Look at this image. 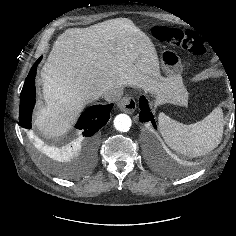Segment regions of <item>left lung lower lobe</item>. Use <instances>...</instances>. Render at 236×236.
<instances>
[{
	"instance_id": "left-lung-lower-lobe-1",
	"label": "left lung lower lobe",
	"mask_w": 236,
	"mask_h": 236,
	"mask_svg": "<svg viewBox=\"0 0 236 236\" xmlns=\"http://www.w3.org/2000/svg\"><path fill=\"white\" fill-rule=\"evenodd\" d=\"M139 107L141 110V112L139 114L140 121L141 122H151L153 127L156 128L154 117H153L152 113L150 112L148 102L144 96L140 97Z\"/></svg>"
}]
</instances>
